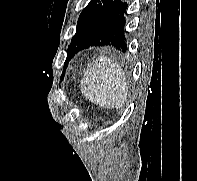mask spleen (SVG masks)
<instances>
[{"label":"spleen","instance_id":"spleen-1","mask_svg":"<svg viewBox=\"0 0 197 181\" xmlns=\"http://www.w3.org/2000/svg\"><path fill=\"white\" fill-rule=\"evenodd\" d=\"M81 92L97 106L121 108L127 100V83L119 63L106 56L90 63L81 81Z\"/></svg>","mask_w":197,"mask_h":181}]
</instances>
